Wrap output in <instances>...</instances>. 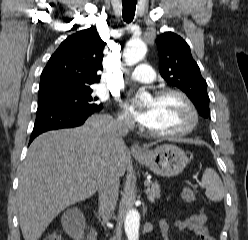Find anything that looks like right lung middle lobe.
Masks as SVG:
<instances>
[{
  "label": "right lung middle lobe",
  "instance_id": "obj_1",
  "mask_svg": "<svg viewBox=\"0 0 248 240\" xmlns=\"http://www.w3.org/2000/svg\"><path fill=\"white\" fill-rule=\"evenodd\" d=\"M92 92L93 90L90 88L75 93L38 97V107L62 106L75 109H98L102 107V104L96 102L97 98L91 96Z\"/></svg>",
  "mask_w": 248,
  "mask_h": 240
}]
</instances>
